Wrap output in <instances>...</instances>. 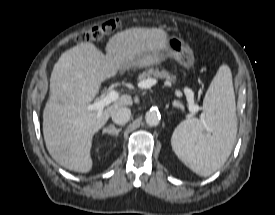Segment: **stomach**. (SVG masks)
Wrapping results in <instances>:
<instances>
[{
  "instance_id": "1",
  "label": "stomach",
  "mask_w": 275,
  "mask_h": 215,
  "mask_svg": "<svg viewBox=\"0 0 275 215\" xmlns=\"http://www.w3.org/2000/svg\"><path fill=\"white\" fill-rule=\"evenodd\" d=\"M166 58L176 60L182 67L191 69L194 66L192 49L180 39L166 37L159 41L155 50L145 52L134 59L127 61L123 69L132 67H146Z\"/></svg>"
}]
</instances>
